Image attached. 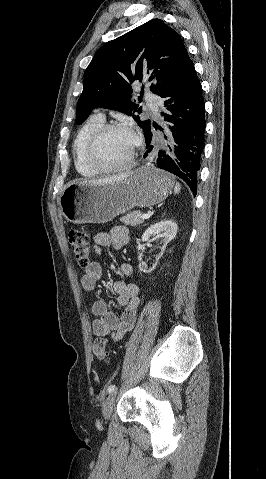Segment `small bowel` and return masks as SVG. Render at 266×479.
Segmentation results:
<instances>
[{"label":"small bowel","instance_id":"c3829d8e","mask_svg":"<svg viewBox=\"0 0 266 479\" xmlns=\"http://www.w3.org/2000/svg\"><path fill=\"white\" fill-rule=\"evenodd\" d=\"M128 241V230L125 227H116L111 232H99L94 235L93 246L97 254L106 246L115 249L123 248ZM132 274V266L123 263L119 267V278L113 281L112 289L116 294V303L122 308L120 313L110 311L104 300H96L91 306L95 316L92 322L93 333L97 336H110L114 341H120L135 325L137 310L140 305L139 287L126 281ZM103 270L98 262H92L85 268L81 278V285L86 291H93L97 281L102 277Z\"/></svg>","mask_w":266,"mask_h":479}]
</instances>
